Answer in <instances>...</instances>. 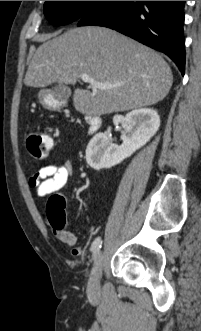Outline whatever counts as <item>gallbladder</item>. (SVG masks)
<instances>
[{"mask_svg": "<svg viewBox=\"0 0 201 331\" xmlns=\"http://www.w3.org/2000/svg\"><path fill=\"white\" fill-rule=\"evenodd\" d=\"M53 94L57 98L68 99L71 94V91L67 85L58 84L53 88Z\"/></svg>", "mask_w": 201, "mask_h": 331, "instance_id": "gallbladder-1", "label": "gallbladder"}]
</instances>
